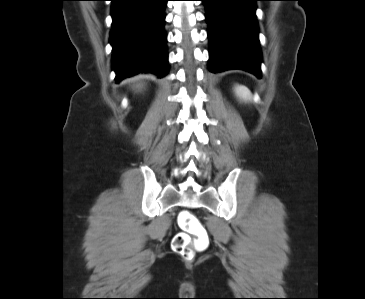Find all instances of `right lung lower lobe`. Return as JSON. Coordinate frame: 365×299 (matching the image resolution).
Wrapping results in <instances>:
<instances>
[{"label":"right lung lower lobe","instance_id":"98d812e1","mask_svg":"<svg viewBox=\"0 0 365 299\" xmlns=\"http://www.w3.org/2000/svg\"><path fill=\"white\" fill-rule=\"evenodd\" d=\"M112 69L119 83L125 77L151 72L168 73L164 30L168 0H111Z\"/></svg>","mask_w":365,"mask_h":299}]
</instances>
